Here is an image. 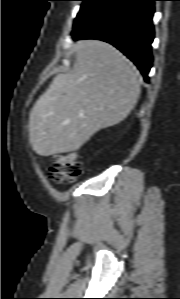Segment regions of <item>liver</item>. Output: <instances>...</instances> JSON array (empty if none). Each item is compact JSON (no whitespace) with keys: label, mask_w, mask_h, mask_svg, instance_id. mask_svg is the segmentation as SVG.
I'll use <instances>...</instances> for the list:
<instances>
[{"label":"liver","mask_w":180,"mask_h":299,"mask_svg":"<svg viewBox=\"0 0 180 299\" xmlns=\"http://www.w3.org/2000/svg\"><path fill=\"white\" fill-rule=\"evenodd\" d=\"M74 52L73 69L54 77L30 112V143L38 155L79 150L99 130L123 121L139 99V72L113 46L82 40Z\"/></svg>","instance_id":"obj_1"}]
</instances>
